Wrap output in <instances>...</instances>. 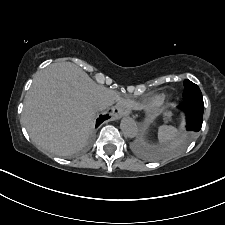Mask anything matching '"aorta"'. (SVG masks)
Wrapping results in <instances>:
<instances>
[{"label": "aorta", "instance_id": "1", "mask_svg": "<svg viewBox=\"0 0 225 225\" xmlns=\"http://www.w3.org/2000/svg\"><path fill=\"white\" fill-rule=\"evenodd\" d=\"M120 129L122 130L123 134L128 138H135L138 134L137 124L130 117H125L121 120Z\"/></svg>", "mask_w": 225, "mask_h": 225}]
</instances>
